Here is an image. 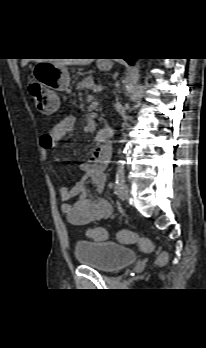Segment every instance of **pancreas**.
I'll return each mask as SVG.
<instances>
[{"instance_id": "obj_1", "label": "pancreas", "mask_w": 206, "mask_h": 348, "mask_svg": "<svg viewBox=\"0 0 206 348\" xmlns=\"http://www.w3.org/2000/svg\"><path fill=\"white\" fill-rule=\"evenodd\" d=\"M94 87V81L92 76H88L85 79H83L81 82L78 83L77 89L83 90V89H91Z\"/></svg>"}]
</instances>
